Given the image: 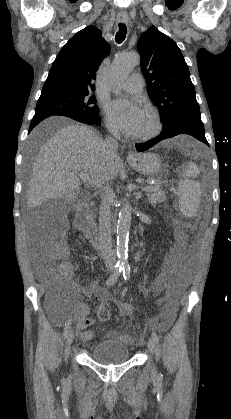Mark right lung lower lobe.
<instances>
[{
    "label": "right lung lower lobe",
    "instance_id": "obj_1",
    "mask_svg": "<svg viewBox=\"0 0 231 419\" xmlns=\"http://www.w3.org/2000/svg\"><path fill=\"white\" fill-rule=\"evenodd\" d=\"M50 115H48V114H44V113H39V114H35L34 115V117H33V119H32V121H31V124H30V128H29V132L40 122V121H42V120H44V119H46V118H48ZM77 121H79V120H77ZM80 122H83V123H87V124H89V125H93V124H100V118L99 117H97V118H95V119H93V120H83V121H80Z\"/></svg>",
    "mask_w": 231,
    "mask_h": 419
}]
</instances>
